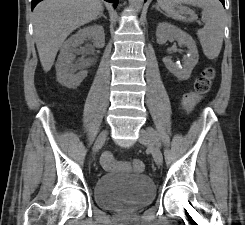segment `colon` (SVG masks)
<instances>
[{"mask_svg": "<svg viewBox=\"0 0 245 225\" xmlns=\"http://www.w3.org/2000/svg\"><path fill=\"white\" fill-rule=\"evenodd\" d=\"M215 71L213 68H205L195 82L194 89L183 96V108L190 113L211 90ZM101 165L106 171H113L119 168H128L135 173L144 171V164L140 160L117 161L110 153H105L101 157Z\"/></svg>", "mask_w": 245, "mask_h": 225, "instance_id": "colon-1", "label": "colon"}]
</instances>
